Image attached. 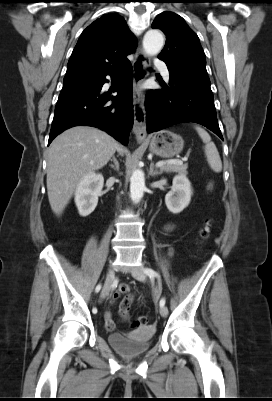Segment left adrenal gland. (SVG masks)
Here are the masks:
<instances>
[{
  "label": "left adrenal gland",
  "mask_w": 272,
  "mask_h": 401,
  "mask_svg": "<svg viewBox=\"0 0 272 401\" xmlns=\"http://www.w3.org/2000/svg\"><path fill=\"white\" fill-rule=\"evenodd\" d=\"M161 174H162V171L154 170V163L151 162L149 175L152 176V177H155V176H158V175H161Z\"/></svg>",
  "instance_id": "left-adrenal-gland-1"
}]
</instances>
